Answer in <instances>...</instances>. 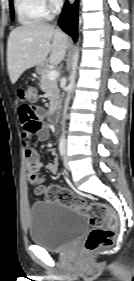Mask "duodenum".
I'll return each instance as SVG.
<instances>
[{
    "label": "duodenum",
    "mask_w": 134,
    "mask_h": 281,
    "mask_svg": "<svg viewBox=\"0 0 134 281\" xmlns=\"http://www.w3.org/2000/svg\"><path fill=\"white\" fill-rule=\"evenodd\" d=\"M49 120L52 124H56L58 121V108L56 106L52 107L49 114Z\"/></svg>",
    "instance_id": "obj_1"
}]
</instances>
